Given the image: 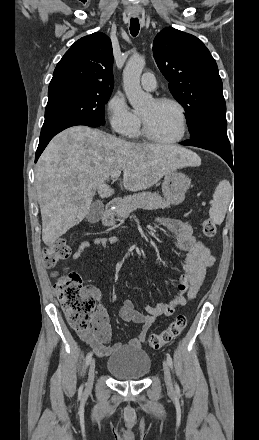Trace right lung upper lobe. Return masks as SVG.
Wrapping results in <instances>:
<instances>
[{
	"instance_id": "obj_1",
	"label": "right lung upper lobe",
	"mask_w": 259,
	"mask_h": 440,
	"mask_svg": "<svg viewBox=\"0 0 259 440\" xmlns=\"http://www.w3.org/2000/svg\"><path fill=\"white\" fill-rule=\"evenodd\" d=\"M113 50L110 38L100 32L77 40L58 62L48 94L66 90L112 92Z\"/></svg>"
}]
</instances>
